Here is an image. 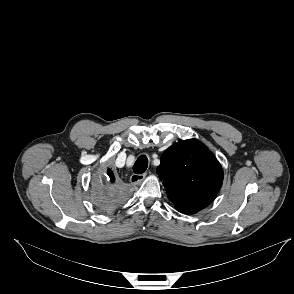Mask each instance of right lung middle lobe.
Masks as SVG:
<instances>
[{
	"label": "right lung middle lobe",
	"instance_id": "right-lung-middle-lobe-1",
	"mask_svg": "<svg viewBox=\"0 0 294 294\" xmlns=\"http://www.w3.org/2000/svg\"><path fill=\"white\" fill-rule=\"evenodd\" d=\"M124 193L119 188H110L98 183L95 186L92 201L102 211H109L117 207L123 200Z\"/></svg>",
	"mask_w": 294,
	"mask_h": 294
}]
</instances>
